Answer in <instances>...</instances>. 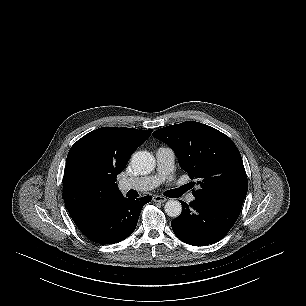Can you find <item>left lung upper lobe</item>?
Returning <instances> with one entry per match:
<instances>
[{
    "instance_id": "obj_1",
    "label": "left lung upper lobe",
    "mask_w": 306,
    "mask_h": 306,
    "mask_svg": "<svg viewBox=\"0 0 306 306\" xmlns=\"http://www.w3.org/2000/svg\"><path fill=\"white\" fill-rule=\"evenodd\" d=\"M153 136L171 147L181 168L197 180L196 199L243 204L247 176L240 152L227 135L208 125L185 121L156 130Z\"/></svg>"
}]
</instances>
